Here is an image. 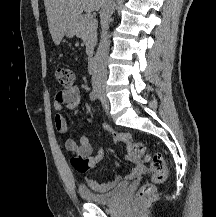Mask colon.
I'll list each match as a JSON object with an SVG mask.
<instances>
[{
  "label": "colon",
  "mask_w": 216,
  "mask_h": 217,
  "mask_svg": "<svg viewBox=\"0 0 216 217\" xmlns=\"http://www.w3.org/2000/svg\"><path fill=\"white\" fill-rule=\"evenodd\" d=\"M55 78L63 88L69 89L73 87L74 73L71 69L65 67L56 68ZM102 129L114 142L126 146L128 160L148 166L152 171L151 182L143 185L135 197L137 203L144 202L154 194L156 184L164 182L168 177V170L163 155L160 152L148 151L144 143L131 139L126 133L107 124H102ZM71 164L81 173L91 169L89 160L79 154L71 157Z\"/></svg>",
  "instance_id": "1"
}]
</instances>
